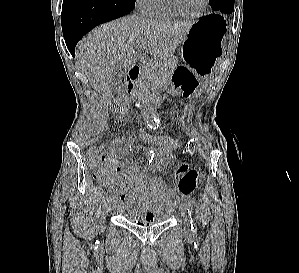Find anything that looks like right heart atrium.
<instances>
[{
    "label": "right heart atrium",
    "mask_w": 299,
    "mask_h": 273,
    "mask_svg": "<svg viewBox=\"0 0 299 273\" xmlns=\"http://www.w3.org/2000/svg\"><path fill=\"white\" fill-rule=\"evenodd\" d=\"M152 0H135L136 6L141 13H145Z\"/></svg>",
    "instance_id": "1"
}]
</instances>
